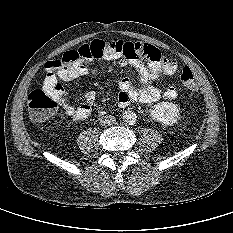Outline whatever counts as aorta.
I'll return each mask as SVG.
<instances>
[{"label":"aorta","mask_w":233,"mask_h":233,"mask_svg":"<svg viewBox=\"0 0 233 233\" xmlns=\"http://www.w3.org/2000/svg\"><path fill=\"white\" fill-rule=\"evenodd\" d=\"M122 117H123L124 122L128 125L135 124L137 120L136 114L132 111H125Z\"/></svg>","instance_id":"obj_1"}]
</instances>
